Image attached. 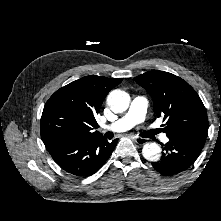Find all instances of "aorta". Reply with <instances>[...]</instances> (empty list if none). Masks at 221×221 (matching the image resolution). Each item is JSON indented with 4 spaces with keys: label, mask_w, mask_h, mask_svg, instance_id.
I'll use <instances>...</instances> for the list:
<instances>
[{
    "label": "aorta",
    "mask_w": 221,
    "mask_h": 221,
    "mask_svg": "<svg viewBox=\"0 0 221 221\" xmlns=\"http://www.w3.org/2000/svg\"><path fill=\"white\" fill-rule=\"evenodd\" d=\"M107 104L116 113L124 112L129 107L130 96L125 91L119 89L113 90L107 97ZM142 155L146 160L156 162L161 157V148L155 142L146 143L143 146Z\"/></svg>",
    "instance_id": "aorta-1"
}]
</instances>
